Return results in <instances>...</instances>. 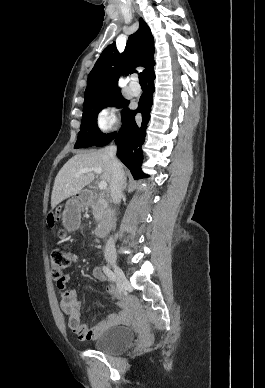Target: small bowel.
Wrapping results in <instances>:
<instances>
[{
	"label": "small bowel",
	"mask_w": 265,
	"mask_h": 388,
	"mask_svg": "<svg viewBox=\"0 0 265 388\" xmlns=\"http://www.w3.org/2000/svg\"><path fill=\"white\" fill-rule=\"evenodd\" d=\"M93 276L96 280L104 282L106 277L104 271L100 266H96L93 269ZM69 275H65V282L67 283ZM108 294H115L116 289L113 286L107 288ZM81 301L77 297V292L75 290H65L62 293L60 307L62 312L67 316V326L72 330L74 334L78 336L79 339L83 341H93L95 340L104 330L107 328L130 322V300L128 297L122 295L119 296L117 305L120 308L118 314H111L108 318L94 327H88L86 324L81 322L80 319V310H81ZM58 327L60 330L66 329V324L63 318H60L58 321Z\"/></svg>",
	"instance_id": "obj_1"
}]
</instances>
